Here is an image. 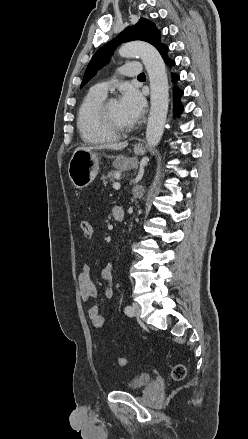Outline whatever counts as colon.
<instances>
[{
  "mask_svg": "<svg viewBox=\"0 0 248 439\" xmlns=\"http://www.w3.org/2000/svg\"><path fill=\"white\" fill-rule=\"evenodd\" d=\"M81 229L83 232V235L86 238H91L92 234H93V228L90 222L88 221H83L81 223ZM127 363V360L125 358H118L117 359V364L118 366L122 367L125 366ZM171 376L175 381H181L185 378L186 376V368L183 364H176L171 372Z\"/></svg>",
  "mask_w": 248,
  "mask_h": 439,
  "instance_id": "1",
  "label": "colon"
}]
</instances>
